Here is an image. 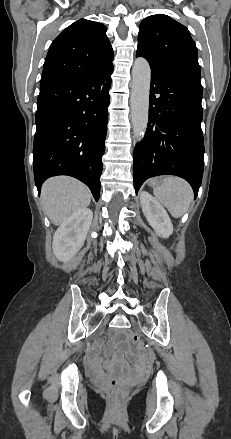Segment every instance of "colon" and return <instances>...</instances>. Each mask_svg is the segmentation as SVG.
Returning <instances> with one entry per match:
<instances>
[{"instance_id":"obj_1","label":"colon","mask_w":231,"mask_h":439,"mask_svg":"<svg viewBox=\"0 0 231 439\" xmlns=\"http://www.w3.org/2000/svg\"><path fill=\"white\" fill-rule=\"evenodd\" d=\"M130 340L135 346H140L142 344L141 337L137 333H132L130 335ZM108 395L111 402H122L127 396V389L124 382L119 378H111L108 384Z\"/></svg>"}]
</instances>
